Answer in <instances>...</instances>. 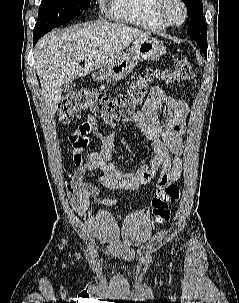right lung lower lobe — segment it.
I'll list each match as a JSON object with an SVG mask.
<instances>
[{"label": "right lung lower lobe", "mask_w": 239, "mask_h": 303, "mask_svg": "<svg viewBox=\"0 0 239 303\" xmlns=\"http://www.w3.org/2000/svg\"><path fill=\"white\" fill-rule=\"evenodd\" d=\"M44 34H46V33L43 31H34L33 32V46Z\"/></svg>", "instance_id": "obj_1"}]
</instances>
